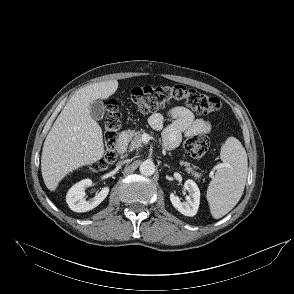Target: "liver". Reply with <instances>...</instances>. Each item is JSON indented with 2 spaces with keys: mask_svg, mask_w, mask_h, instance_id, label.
Wrapping results in <instances>:
<instances>
[{
  "mask_svg": "<svg viewBox=\"0 0 294 294\" xmlns=\"http://www.w3.org/2000/svg\"><path fill=\"white\" fill-rule=\"evenodd\" d=\"M117 88V80L85 86L59 114L45 139L41 156L42 177L50 191H55L70 172L103 157L102 130L91 117L89 106L95 100L107 99Z\"/></svg>",
  "mask_w": 294,
  "mask_h": 294,
  "instance_id": "liver-1",
  "label": "liver"
}]
</instances>
